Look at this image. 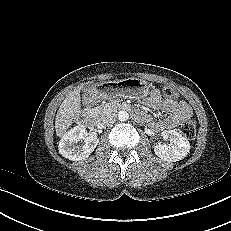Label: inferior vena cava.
Masks as SVG:
<instances>
[{
    "instance_id": "obj_1",
    "label": "inferior vena cava",
    "mask_w": 231,
    "mask_h": 231,
    "mask_svg": "<svg viewBox=\"0 0 231 231\" xmlns=\"http://www.w3.org/2000/svg\"><path fill=\"white\" fill-rule=\"evenodd\" d=\"M116 118H117L116 114L110 113V114L104 115L101 121L104 125L109 126L115 122Z\"/></svg>"
}]
</instances>
